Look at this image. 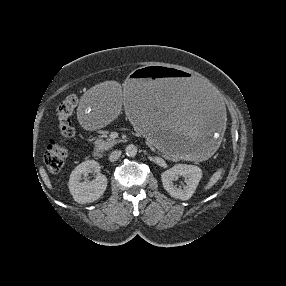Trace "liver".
I'll list each match as a JSON object with an SVG mask.
<instances>
[{"label":"liver","mask_w":286,"mask_h":286,"mask_svg":"<svg viewBox=\"0 0 286 286\" xmlns=\"http://www.w3.org/2000/svg\"><path fill=\"white\" fill-rule=\"evenodd\" d=\"M124 87L126 88V85ZM118 90L120 91V87H118ZM39 172H40L41 178L44 181L45 185L49 189H52V185H51L50 179H49L48 174L46 173V171H45L43 166L40 167Z\"/></svg>","instance_id":"1"}]
</instances>
